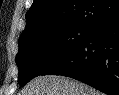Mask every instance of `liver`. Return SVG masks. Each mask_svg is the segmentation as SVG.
<instances>
[{
  "mask_svg": "<svg viewBox=\"0 0 119 95\" xmlns=\"http://www.w3.org/2000/svg\"><path fill=\"white\" fill-rule=\"evenodd\" d=\"M19 95H103L77 80L57 75L38 76Z\"/></svg>",
  "mask_w": 119,
  "mask_h": 95,
  "instance_id": "1",
  "label": "liver"
}]
</instances>
